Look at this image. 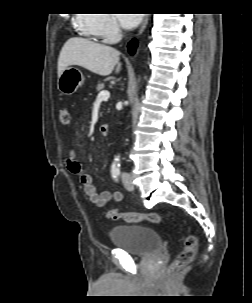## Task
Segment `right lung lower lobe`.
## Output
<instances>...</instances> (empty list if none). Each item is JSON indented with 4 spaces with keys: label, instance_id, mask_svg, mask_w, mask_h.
I'll return each mask as SVG.
<instances>
[{
    "label": "right lung lower lobe",
    "instance_id": "obj_1",
    "mask_svg": "<svg viewBox=\"0 0 252 303\" xmlns=\"http://www.w3.org/2000/svg\"><path fill=\"white\" fill-rule=\"evenodd\" d=\"M137 47V41L135 39H133L132 41H130L128 43V51L133 54L136 50Z\"/></svg>",
    "mask_w": 252,
    "mask_h": 303
}]
</instances>
